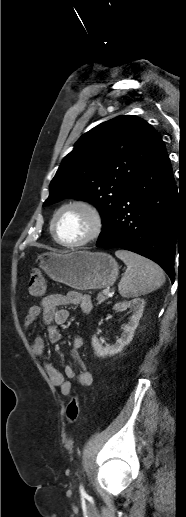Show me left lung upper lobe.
I'll list each match as a JSON object with an SVG mask.
<instances>
[{
    "label": "left lung upper lobe",
    "mask_w": 186,
    "mask_h": 517,
    "mask_svg": "<svg viewBox=\"0 0 186 517\" xmlns=\"http://www.w3.org/2000/svg\"><path fill=\"white\" fill-rule=\"evenodd\" d=\"M161 145L158 132L136 116L99 124L62 160L43 205L65 197L89 201L99 210L104 227Z\"/></svg>",
    "instance_id": "1"
}]
</instances>
